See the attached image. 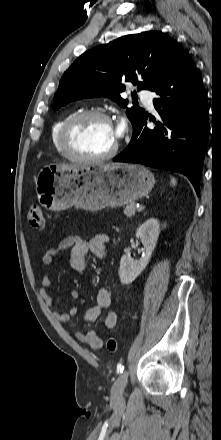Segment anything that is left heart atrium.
Listing matches in <instances>:
<instances>
[{"instance_id": "obj_1", "label": "left heart atrium", "mask_w": 221, "mask_h": 440, "mask_svg": "<svg viewBox=\"0 0 221 440\" xmlns=\"http://www.w3.org/2000/svg\"><path fill=\"white\" fill-rule=\"evenodd\" d=\"M123 130H124V123L121 122V123L117 126V128L115 129L116 136L118 137L119 135H121V133L123 132Z\"/></svg>"}]
</instances>
